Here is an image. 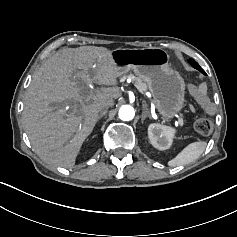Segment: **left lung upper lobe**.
Listing matches in <instances>:
<instances>
[{
	"mask_svg": "<svg viewBox=\"0 0 237 237\" xmlns=\"http://www.w3.org/2000/svg\"><path fill=\"white\" fill-rule=\"evenodd\" d=\"M189 63L192 65V67L196 68L197 70H199L202 74L206 75L205 71L198 65L197 62H195L194 60L190 59Z\"/></svg>",
	"mask_w": 237,
	"mask_h": 237,
	"instance_id": "obj_1",
	"label": "left lung upper lobe"
}]
</instances>
